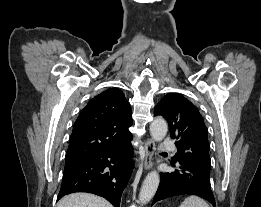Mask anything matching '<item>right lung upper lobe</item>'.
Returning a JSON list of instances; mask_svg holds the SVG:
<instances>
[{
    "mask_svg": "<svg viewBox=\"0 0 261 207\" xmlns=\"http://www.w3.org/2000/svg\"><path fill=\"white\" fill-rule=\"evenodd\" d=\"M131 107L118 88L95 96L78 116L66 152L65 163L112 150L131 141Z\"/></svg>",
    "mask_w": 261,
    "mask_h": 207,
    "instance_id": "obj_1",
    "label": "right lung upper lobe"
}]
</instances>
